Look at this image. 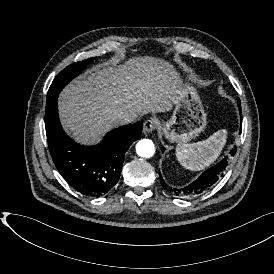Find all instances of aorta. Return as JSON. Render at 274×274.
Wrapping results in <instances>:
<instances>
[{"label":"aorta","mask_w":274,"mask_h":274,"mask_svg":"<svg viewBox=\"0 0 274 274\" xmlns=\"http://www.w3.org/2000/svg\"><path fill=\"white\" fill-rule=\"evenodd\" d=\"M155 151L154 143L150 139H141L136 144V152L139 156L150 158Z\"/></svg>","instance_id":"1"}]
</instances>
